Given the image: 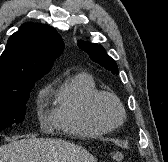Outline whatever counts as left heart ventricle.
I'll use <instances>...</instances> for the list:
<instances>
[{"mask_svg":"<svg viewBox=\"0 0 168 162\" xmlns=\"http://www.w3.org/2000/svg\"><path fill=\"white\" fill-rule=\"evenodd\" d=\"M99 113L102 118L109 124H114L119 119V111L117 106L110 99H102L99 102Z\"/></svg>","mask_w":168,"mask_h":162,"instance_id":"1","label":"left heart ventricle"}]
</instances>
